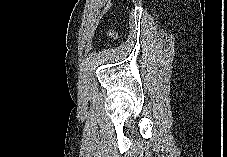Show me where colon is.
<instances>
[{"label":"colon","instance_id":"1","mask_svg":"<svg viewBox=\"0 0 227 157\" xmlns=\"http://www.w3.org/2000/svg\"><path fill=\"white\" fill-rule=\"evenodd\" d=\"M109 35H110L111 37L115 38L117 34H116V32H115L114 30H110V31H109Z\"/></svg>","mask_w":227,"mask_h":157}]
</instances>
